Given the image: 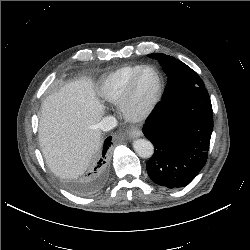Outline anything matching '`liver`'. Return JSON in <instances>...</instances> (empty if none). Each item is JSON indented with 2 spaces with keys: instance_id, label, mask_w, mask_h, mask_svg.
I'll return each instance as SVG.
<instances>
[{
  "instance_id": "liver-1",
  "label": "liver",
  "mask_w": 250,
  "mask_h": 250,
  "mask_svg": "<svg viewBox=\"0 0 250 250\" xmlns=\"http://www.w3.org/2000/svg\"><path fill=\"white\" fill-rule=\"evenodd\" d=\"M102 115L103 105L87 78L65 84L44 100L38 137L46 164L55 175L75 178L84 173L100 148Z\"/></svg>"
}]
</instances>
